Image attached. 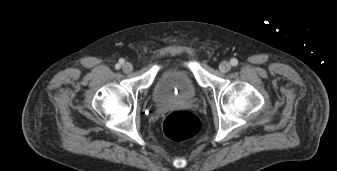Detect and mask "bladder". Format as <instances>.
I'll return each mask as SVG.
<instances>
[{
    "instance_id": "31cf9c89",
    "label": "bladder",
    "mask_w": 337,
    "mask_h": 171,
    "mask_svg": "<svg viewBox=\"0 0 337 171\" xmlns=\"http://www.w3.org/2000/svg\"><path fill=\"white\" fill-rule=\"evenodd\" d=\"M198 94L197 85L188 70L182 67L161 69L153 88V99L159 104L175 100L190 101Z\"/></svg>"
}]
</instances>
